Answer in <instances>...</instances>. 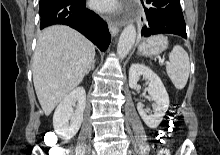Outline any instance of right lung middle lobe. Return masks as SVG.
<instances>
[{
    "label": "right lung middle lobe",
    "instance_id": "dd1d6c3e",
    "mask_svg": "<svg viewBox=\"0 0 220 155\" xmlns=\"http://www.w3.org/2000/svg\"><path fill=\"white\" fill-rule=\"evenodd\" d=\"M56 0H40V7L55 2Z\"/></svg>",
    "mask_w": 220,
    "mask_h": 155
}]
</instances>
